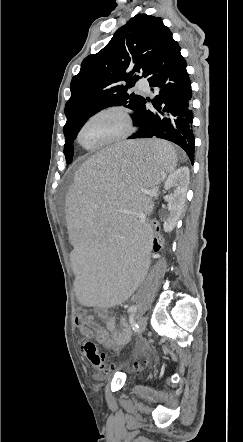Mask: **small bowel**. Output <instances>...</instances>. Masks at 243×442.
Segmentation results:
<instances>
[{"mask_svg": "<svg viewBox=\"0 0 243 442\" xmlns=\"http://www.w3.org/2000/svg\"><path fill=\"white\" fill-rule=\"evenodd\" d=\"M76 325L86 339L95 338L105 348L116 352L131 336V329L126 319L121 320V331L113 317L100 311L89 312L86 308L78 311Z\"/></svg>", "mask_w": 243, "mask_h": 442, "instance_id": "obj_1", "label": "small bowel"}]
</instances>
